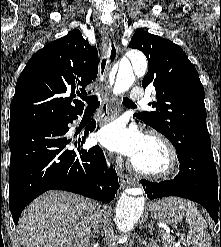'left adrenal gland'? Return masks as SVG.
<instances>
[{"label": "left adrenal gland", "instance_id": "1", "mask_svg": "<svg viewBox=\"0 0 221 247\" xmlns=\"http://www.w3.org/2000/svg\"><path fill=\"white\" fill-rule=\"evenodd\" d=\"M148 227L149 228V232L150 234L153 233V225H152V222H149L148 224L145 225V228Z\"/></svg>", "mask_w": 221, "mask_h": 247}]
</instances>
